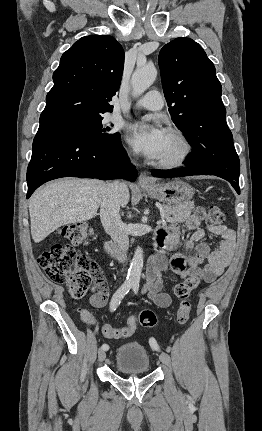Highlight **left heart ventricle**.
Returning <instances> with one entry per match:
<instances>
[{
  "mask_svg": "<svg viewBox=\"0 0 262 431\" xmlns=\"http://www.w3.org/2000/svg\"><path fill=\"white\" fill-rule=\"evenodd\" d=\"M178 151L179 145L177 141L167 133L163 148L157 160L172 158L178 153Z\"/></svg>",
  "mask_w": 262,
  "mask_h": 431,
  "instance_id": "1",
  "label": "left heart ventricle"
}]
</instances>
